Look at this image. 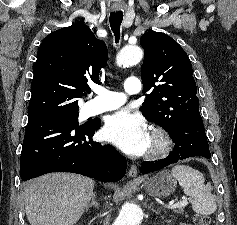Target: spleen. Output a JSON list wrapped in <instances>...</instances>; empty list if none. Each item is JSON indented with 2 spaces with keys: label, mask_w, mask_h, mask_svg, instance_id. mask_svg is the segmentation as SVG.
<instances>
[{
  "label": "spleen",
  "mask_w": 237,
  "mask_h": 225,
  "mask_svg": "<svg viewBox=\"0 0 237 225\" xmlns=\"http://www.w3.org/2000/svg\"><path fill=\"white\" fill-rule=\"evenodd\" d=\"M171 173L184 189V193L192 199V209L196 213L210 215L217 210L215 196L211 193V185H205L201 172L190 166L179 164L172 168Z\"/></svg>",
  "instance_id": "3e777b00"
}]
</instances>
